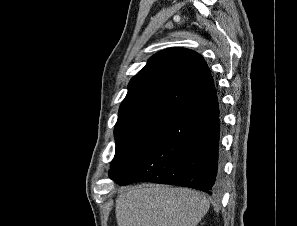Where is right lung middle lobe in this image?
I'll return each mask as SVG.
<instances>
[{
    "label": "right lung middle lobe",
    "mask_w": 297,
    "mask_h": 226,
    "mask_svg": "<svg viewBox=\"0 0 297 226\" xmlns=\"http://www.w3.org/2000/svg\"><path fill=\"white\" fill-rule=\"evenodd\" d=\"M169 119L170 116L147 115L116 123V152L109 171L111 179L116 182L134 165Z\"/></svg>",
    "instance_id": "1"
}]
</instances>
